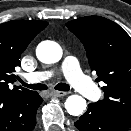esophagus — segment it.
Segmentation results:
<instances>
[{
	"label": "esophagus",
	"instance_id": "obj_1",
	"mask_svg": "<svg viewBox=\"0 0 131 131\" xmlns=\"http://www.w3.org/2000/svg\"><path fill=\"white\" fill-rule=\"evenodd\" d=\"M67 94H69V92H65V91H53L52 92V95L55 97H63Z\"/></svg>",
	"mask_w": 131,
	"mask_h": 131
}]
</instances>
